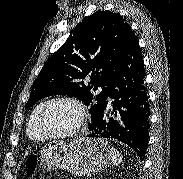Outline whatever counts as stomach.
Wrapping results in <instances>:
<instances>
[{
  "label": "stomach",
  "instance_id": "1",
  "mask_svg": "<svg viewBox=\"0 0 183 179\" xmlns=\"http://www.w3.org/2000/svg\"><path fill=\"white\" fill-rule=\"evenodd\" d=\"M110 160L111 149L105 140L86 137L76 138L70 144L52 141L44 146L39 158L45 170L64 169L74 176L102 171Z\"/></svg>",
  "mask_w": 183,
  "mask_h": 179
}]
</instances>
